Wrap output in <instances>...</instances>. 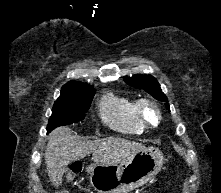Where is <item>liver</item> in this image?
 Here are the masks:
<instances>
[{
	"instance_id": "obj_1",
	"label": "liver",
	"mask_w": 221,
	"mask_h": 193,
	"mask_svg": "<svg viewBox=\"0 0 221 193\" xmlns=\"http://www.w3.org/2000/svg\"><path fill=\"white\" fill-rule=\"evenodd\" d=\"M143 149V144L124 138L84 141L72 135L68 127L62 126L49 134L44 156L49 179L58 188L66 167L90 153L95 164L118 165Z\"/></svg>"
}]
</instances>
